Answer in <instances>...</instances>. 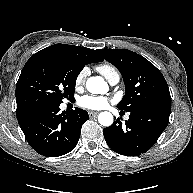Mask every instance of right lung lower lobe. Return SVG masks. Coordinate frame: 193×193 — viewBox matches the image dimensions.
I'll use <instances>...</instances> for the list:
<instances>
[{"instance_id": "98d812e1", "label": "right lung lower lobe", "mask_w": 193, "mask_h": 193, "mask_svg": "<svg viewBox=\"0 0 193 193\" xmlns=\"http://www.w3.org/2000/svg\"><path fill=\"white\" fill-rule=\"evenodd\" d=\"M59 110V105H51L18 121L30 146L43 156L58 157L72 151L82 124L89 119L88 113L79 108L69 113Z\"/></svg>"}]
</instances>
